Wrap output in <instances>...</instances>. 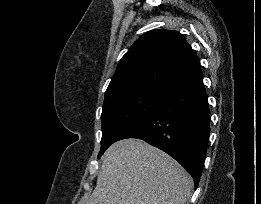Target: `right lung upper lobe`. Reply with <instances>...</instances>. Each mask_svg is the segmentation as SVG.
Masks as SVG:
<instances>
[{
	"label": "right lung upper lobe",
	"instance_id": "cb5924a9",
	"mask_svg": "<svg viewBox=\"0 0 261 204\" xmlns=\"http://www.w3.org/2000/svg\"><path fill=\"white\" fill-rule=\"evenodd\" d=\"M200 69L198 57L179 32L152 30L121 58L105 97L130 90L167 93Z\"/></svg>",
	"mask_w": 261,
	"mask_h": 204
}]
</instances>
